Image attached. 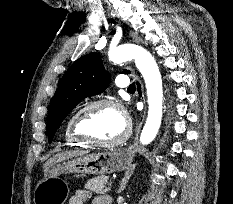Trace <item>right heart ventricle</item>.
<instances>
[{
  "mask_svg": "<svg viewBox=\"0 0 233 204\" xmlns=\"http://www.w3.org/2000/svg\"><path fill=\"white\" fill-rule=\"evenodd\" d=\"M72 117H70L68 119L67 124L65 126V131H64L65 143L70 147H85L86 144L81 142L80 140L76 139L73 136L72 132H71V120H72Z\"/></svg>",
  "mask_w": 233,
  "mask_h": 204,
  "instance_id": "1",
  "label": "right heart ventricle"
}]
</instances>
